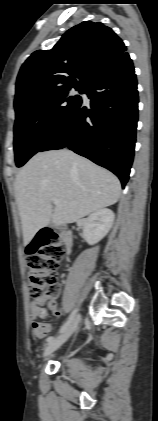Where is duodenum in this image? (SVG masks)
I'll return each instance as SVG.
<instances>
[{"label":"duodenum","instance_id":"obj_1","mask_svg":"<svg viewBox=\"0 0 158 421\" xmlns=\"http://www.w3.org/2000/svg\"><path fill=\"white\" fill-rule=\"evenodd\" d=\"M45 233H49L48 230H44ZM62 239L67 248L71 246V233L68 230L62 232Z\"/></svg>","mask_w":158,"mask_h":421}]
</instances>
